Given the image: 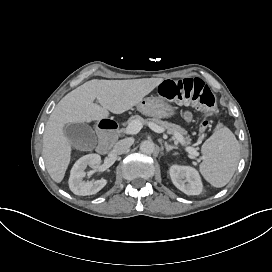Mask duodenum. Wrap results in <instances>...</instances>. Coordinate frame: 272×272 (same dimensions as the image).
<instances>
[{
    "label": "duodenum",
    "instance_id": "obj_1",
    "mask_svg": "<svg viewBox=\"0 0 272 272\" xmlns=\"http://www.w3.org/2000/svg\"><path fill=\"white\" fill-rule=\"evenodd\" d=\"M100 143L98 145L99 153H106L112 147L117 139L118 124L111 119H103L99 124Z\"/></svg>",
    "mask_w": 272,
    "mask_h": 272
}]
</instances>
